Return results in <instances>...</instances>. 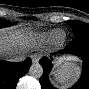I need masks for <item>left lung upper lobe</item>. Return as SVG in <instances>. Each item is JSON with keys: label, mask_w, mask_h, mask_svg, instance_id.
<instances>
[{"label": "left lung upper lobe", "mask_w": 89, "mask_h": 89, "mask_svg": "<svg viewBox=\"0 0 89 89\" xmlns=\"http://www.w3.org/2000/svg\"><path fill=\"white\" fill-rule=\"evenodd\" d=\"M67 23L72 27L74 35H79V34L89 35L88 24L77 20H70Z\"/></svg>", "instance_id": "obj_1"}]
</instances>
